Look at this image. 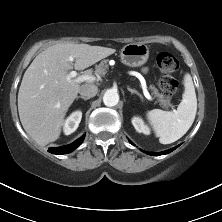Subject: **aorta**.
<instances>
[{"mask_svg":"<svg viewBox=\"0 0 222 222\" xmlns=\"http://www.w3.org/2000/svg\"><path fill=\"white\" fill-rule=\"evenodd\" d=\"M103 102L108 107L116 106L119 102V95L117 91L113 89L107 90L103 96Z\"/></svg>","mask_w":222,"mask_h":222,"instance_id":"obj_1","label":"aorta"}]
</instances>
